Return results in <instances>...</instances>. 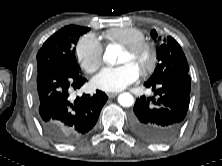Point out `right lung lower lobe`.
I'll return each instance as SVG.
<instances>
[{"instance_id": "98d812e1", "label": "right lung lower lobe", "mask_w": 222, "mask_h": 166, "mask_svg": "<svg viewBox=\"0 0 222 166\" xmlns=\"http://www.w3.org/2000/svg\"><path fill=\"white\" fill-rule=\"evenodd\" d=\"M85 81L79 72L65 67L37 73L33 96L38 117L46 134L58 143H72L88 133L108 99L99 90L93 96L83 94L72 99L70 93Z\"/></svg>"}]
</instances>
